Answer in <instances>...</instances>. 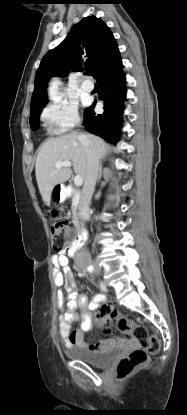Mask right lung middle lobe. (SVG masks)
Instances as JSON below:
<instances>
[{
	"label": "right lung middle lobe",
	"mask_w": 187,
	"mask_h": 415,
	"mask_svg": "<svg viewBox=\"0 0 187 415\" xmlns=\"http://www.w3.org/2000/svg\"><path fill=\"white\" fill-rule=\"evenodd\" d=\"M43 107L44 106H41L40 108L30 112V126L33 130H37L38 128L39 116Z\"/></svg>",
	"instance_id": "1"
}]
</instances>
